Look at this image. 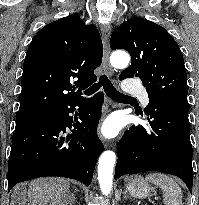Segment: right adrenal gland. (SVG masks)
I'll list each match as a JSON object with an SVG mask.
<instances>
[{"label":"right adrenal gland","mask_w":199,"mask_h":205,"mask_svg":"<svg viewBox=\"0 0 199 205\" xmlns=\"http://www.w3.org/2000/svg\"><path fill=\"white\" fill-rule=\"evenodd\" d=\"M75 191H78V190L75 188ZM74 200H75V197H74ZM74 200H73V202H74Z\"/></svg>","instance_id":"2a0ac1e0"}]
</instances>
